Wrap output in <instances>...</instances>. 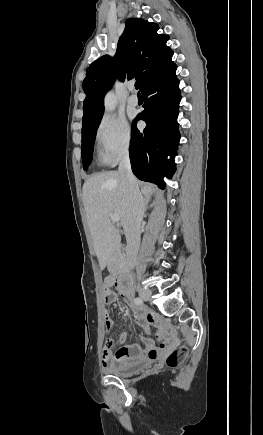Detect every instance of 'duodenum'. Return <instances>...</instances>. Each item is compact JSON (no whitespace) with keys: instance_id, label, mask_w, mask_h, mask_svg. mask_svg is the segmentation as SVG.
I'll return each mask as SVG.
<instances>
[{"instance_id":"duodenum-1","label":"duodenum","mask_w":263,"mask_h":435,"mask_svg":"<svg viewBox=\"0 0 263 435\" xmlns=\"http://www.w3.org/2000/svg\"><path fill=\"white\" fill-rule=\"evenodd\" d=\"M117 286L118 288L126 295H128L130 293L129 290V282H128V272L127 269L125 267H122L118 272H117Z\"/></svg>"}]
</instances>
